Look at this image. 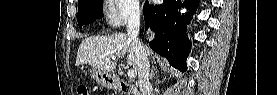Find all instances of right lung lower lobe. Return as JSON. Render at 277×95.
Here are the masks:
<instances>
[{
	"instance_id": "obj_1",
	"label": "right lung lower lobe",
	"mask_w": 277,
	"mask_h": 95,
	"mask_svg": "<svg viewBox=\"0 0 277 95\" xmlns=\"http://www.w3.org/2000/svg\"><path fill=\"white\" fill-rule=\"evenodd\" d=\"M199 0H163L161 5H149L148 1L143 7L145 29L149 27L156 32L155 39L149 46L158 54L165 57L170 64L186 71V59L191 49V42L186 38V23L191 19L193 11L199 5ZM188 7L190 15L180 20V7Z\"/></svg>"
}]
</instances>
